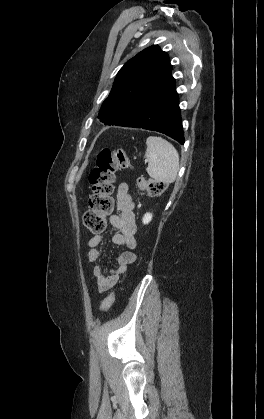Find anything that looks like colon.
Instances as JSON below:
<instances>
[{
	"label": "colon",
	"mask_w": 264,
	"mask_h": 419,
	"mask_svg": "<svg viewBox=\"0 0 264 419\" xmlns=\"http://www.w3.org/2000/svg\"><path fill=\"white\" fill-rule=\"evenodd\" d=\"M132 163L122 151L104 149L99 152L96 164L89 174L92 193L89 197V209L84 213V226L94 233H100L106 225V218L114 209V180L119 169H130ZM138 186L150 195H159L166 190V184L153 179L140 177ZM114 301V293H110L101 304L103 312L108 311Z\"/></svg>",
	"instance_id": "5ec220e1"
}]
</instances>
